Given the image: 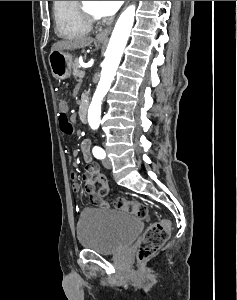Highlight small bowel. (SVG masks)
Returning <instances> with one entry per match:
<instances>
[{"instance_id": "small-bowel-1", "label": "small bowel", "mask_w": 237, "mask_h": 300, "mask_svg": "<svg viewBox=\"0 0 237 300\" xmlns=\"http://www.w3.org/2000/svg\"><path fill=\"white\" fill-rule=\"evenodd\" d=\"M68 105L65 101L60 103V110L61 111H67ZM79 151L82 154V157L84 159V161L89 164V170L90 171H96L97 170V166L92 164V157H91V153H90V140L88 139H84L79 146ZM75 174H73V179H75ZM73 191L74 192H79L80 191V185L74 181L73 183ZM91 199L97 203L99 206L101 207H108V203L102 199H100L97 195L95 194H91Z\"/></svg>"}]
</instances>
